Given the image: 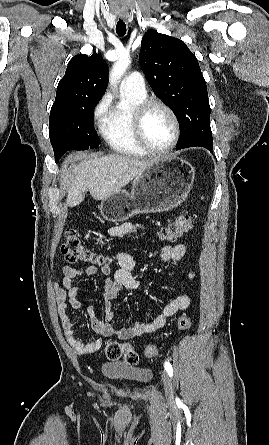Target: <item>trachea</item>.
<instances>
[{"instance_id": "obj_1", "label": "trachea", "mask_w": 269, "mask_h": 445, "mask_svg": "<svg viewBox=\"0 0 269 445\" xmlns=\"http://www.w3.org/2000/svg\"><path fill=\"white\" fill-rule=\"evenodd\" d=\"M116 33L122 37L126 34V24L122 19H119L116 25Z\"/></svg>"}]
</instances>
